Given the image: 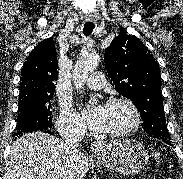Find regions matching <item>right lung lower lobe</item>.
Listing matches in <instances>:
<instances>
[{"label":"right lung lower lobe","instance_id":"1","mask_svg":"<svg viewBox=\"0 0 183 179\" xmlns=\"http://www.w3.org/2000/svg\"><path fill=\"white\" fill-rule=\"evenodd\" d=\"M45 132H48L49 134H52L50 130H45ZM22 136V135H21ZM20 137V136H19Z\"/></svg>","mask_w":183,"mask_h":179}]
</instances>
